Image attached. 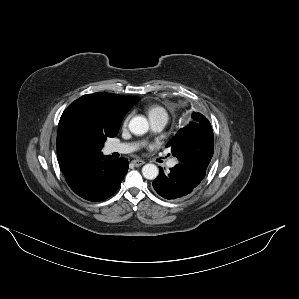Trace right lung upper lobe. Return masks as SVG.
<instances>
[{
  "label": "right lung upper lobe",
  "mask_w": 299,
  "mask_h": 299,
  "mask_svg": "<svg viewBox=\"0 0 299 299\" xmlns=\"http://www.w3.org/2000/svg\"><path fill=\"white\" fill-rule=\"evenodd\" d=\"M138 100L99 92L83 95L65 109L58 125L57 156L66 178L89 159L103 156L106 138L117 135L123 117Z\"/></svg>",
  "instance_id": "obj_1"
}]
</instances>
